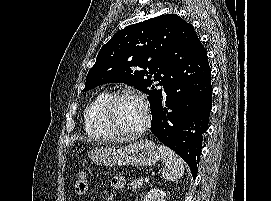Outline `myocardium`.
<instances>
[{
	"label": "myocardium",
	"mask_w": 271,
	"mask_h": 201,
	"mask_svg": "<svg viewBox=\"0 0 271 201\" xmlns=\"http://www.w3.org/2000/svg\"><path fill=\"white\" fill-rule=\"evenodd\" d=\"M124 96H130L140 101L145 111V120L143 124L141 125V127H139L138 129L134 131H126V130L121 129L116 124V121L114 119V115H113L114 105L119 98L124 97ZM103 117L105 119L106 124L110 127V129L117 136H121V137L139 136L143 134L144 132H146L150 128L151 123H152V113H151V109H150L147 99L141 93L133 89H120L110 94L109 98L107 99L103 107Z\"/></svg>",
	"instance_id": "obj_1"
}]
</instances>
